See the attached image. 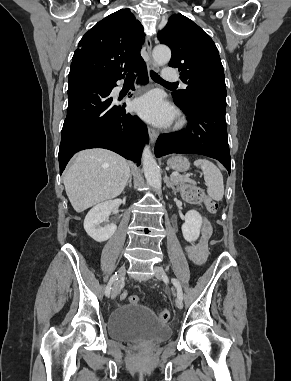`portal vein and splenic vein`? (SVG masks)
Returning a JSON list of instances; mask_svg holds the SVG:
<instances>
[{
	"label": "portal vein and splenic vein",
	"instance_id": "portal-vein-and-splenic-vein-1",
	"mask_svg": "<svg viewBox=\"0 0 291 381\" xmlns=\"http://www.w3.org/2000/svg\"><path fill=\"white\" fill-rule=\"evenodd\" d=\"M178 176L180 175L176 172L171 174V178L178 177ZM184 177H188V175H185Z\"/></svg>",
	"mask_w": 291,
	"mask_h": 381
}]
</instances>
